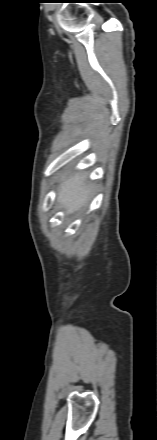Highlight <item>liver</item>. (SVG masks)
<instances>
[{"mask_svg": "<svg viewBox=\"0 0 157 440\" xmlns=\"http://www.w3.org/2000/svg\"><path fill=\"white\" fill-rule=\"evenodd\" d=\"M92 186L85 173L65 174L60 182L57 202L66 214H72L85 207L90 199Z\"/></svg>", "mask_w": 157, "mask_h": 440, "instance_id": "1", "label": "liver"}]
</instances>
